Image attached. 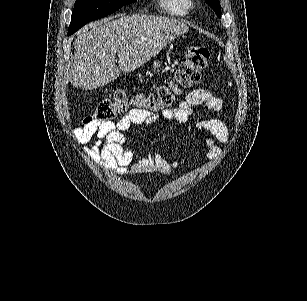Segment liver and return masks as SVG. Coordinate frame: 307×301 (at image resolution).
Listing matches in <instances>:
<instances>
[{
    "instance_id": "obj_1",
    "label": "liver",
    "mask_w": 307,
    "mask_h": 301,
    "mask_svg": "<svg viewBox=\"0 0 307 301\" xmlns=\"http://www.w3.org/2000/svg\"><path fill=\"white\" fill-rule=\"evenodd\" d=\"M188 30L182 20L152 14H116L114 20L90 22L76 32L70 82L85 90L104 86L115 80L121 70L131 72L143 66ZM116 54L120 70L115 64Z\"/></svg>"
}]
</instances>
